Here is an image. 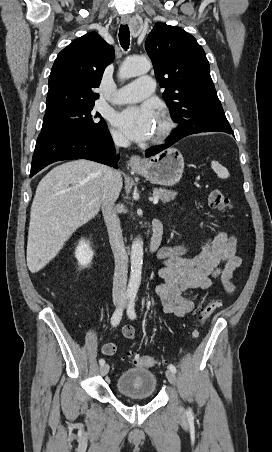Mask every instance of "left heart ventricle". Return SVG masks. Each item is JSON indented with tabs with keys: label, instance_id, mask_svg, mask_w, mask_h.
<instances>
[{
	"label": "left heart ventricle",
	"instance_id": "left-heart-ventricle-1",
	"mask_svg": "<svg viewBox=\"0 0 272 452\" xmlns=\"http://www.w3.org/2000/svg\"><path fill=\"white\" fill-rule=\"evenodd\" d=\"M160 128H161V119H158L156 121L155 129H154V133L153 134L156 135L159 132Z\"/></svg>",
	"mask_w": 272,
	"mask_h": 452
}]
</instances>
